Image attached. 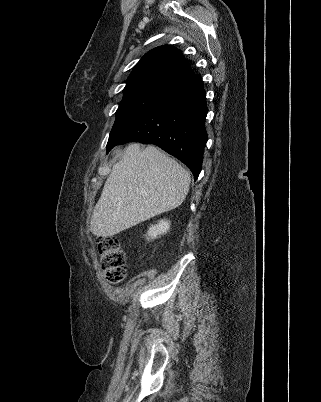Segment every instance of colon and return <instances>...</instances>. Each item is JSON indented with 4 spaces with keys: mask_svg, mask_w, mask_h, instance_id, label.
<instances>
[{
    "mask_svg": "<svg viewBox=\"0 0 321 402\" xmlns=\"http://www.w3.org/2000/svg\"><path fill=\"white\" fill-rule=\"evenodd\" d=\"M100 269L112 285L121 283L127 272L126 254L121 242L113 236H100L96 240Z\"/></svg>",
    "mask_w": 321,
    "mask_h": 402,
    "instance_id": "5ec220e1",
    "label": "colon"
}]
</instances>
